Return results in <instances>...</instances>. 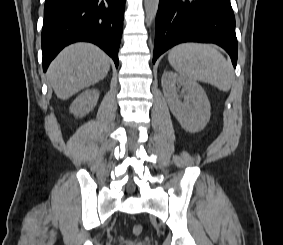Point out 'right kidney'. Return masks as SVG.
<instances>
[{"label": "right kidney", "instance_id": "ca27d5eb", "mask_svg": "<svg viewBox=\"0 0 283 245\" xmlns=\"http://www.w3.org/2000/svg\"><path fill=\"white\" fill-rule=\"evenodd\" d=\"M99 91L89 89L81 93L71 104L70 112L76 117H83L89 113L97 104Z\"/></svg>", "mask_w": 283, "mask_h": 245}]
</instances>
